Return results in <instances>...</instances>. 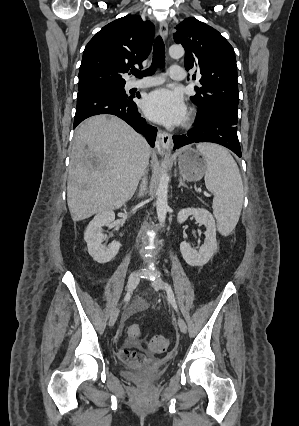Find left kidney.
<instances>
[{"label":"left kidney","mask_w":299,"mask_h":426,"mask_svg":"<svg viewBox=\"0 0 299 426\" xmlns=\"http://www.w3.org/2000/svg\"><path fill=\"white\" fill-rule=\"evenodd\" d=\"M191 215L198 223L206 227L205 241L199 251L193 249L188 242L183 241L180 244V251L183 259L190 266H203L217 250L216 224L212 214L204 208H185L180 210L177 215L178 223H184Z\"/></svg>","instance_id":"obj_1"}]
</instances>
